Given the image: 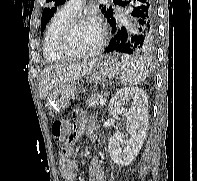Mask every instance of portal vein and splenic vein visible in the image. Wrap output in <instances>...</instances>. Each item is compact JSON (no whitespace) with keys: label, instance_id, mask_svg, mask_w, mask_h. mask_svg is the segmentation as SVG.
I'll list each match as a JSON object with an SVG mask.
<instances>
[{"label":"portal vein and splenic vein","instance_id":"portal-vein-and-splenic-vein-1","mask_svg":"<svg viewBox=\"0 0 197 181\" xmlns=\"http://www.w3.org/2000/svg\"><path fill=\"white\" fill-rule=\"evenodd\" d=\"M106 103V99L105 98H102L101 100H100V104H105Z\"/></svg>","mask_w":197,"mask_h":181}]
</instances>
